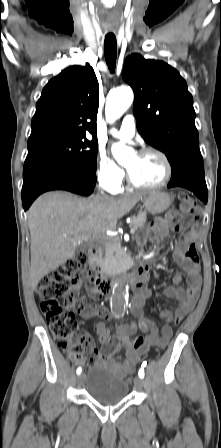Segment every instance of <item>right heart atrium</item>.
Masks as SVG:
<instances>
[{
	"label": "right heart atrium",
	"mask_w": 221,
	"mask_h": 448,
	"mask_svg": "<svg viewBox=\"0 0 221 448\" xmlns=\"http://www.w3.org/2000/svg\"><path fill=\"white\" fill-rule=\"evenodd\" d=\"M96 176L100 186L108 191H115L121 186L124 171L109 157L100 153L97 157Z\"/></svg>",
	"instance_id": "obj_1"
}]
</instances>
